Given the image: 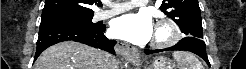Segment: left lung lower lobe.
I'll use <instances>...</instances> for the list:
<instances>
[{"label": "left lung lower lobe", "instance_id": "left-lung-lower-lobe-1", "mask_svg": "<svg viewBox=\"0 0 246 69\" xmlns=\"http://www.w3.org/2000/svg\"><path fill=\"white\" fill-rule=\"evenodd\" d=\"M205 47H206L205 42L202 39L188 36L180 40L176 45L172 47L160 49V50H145L144 52L145 54H153V53L169 51V50L190 51L200 56L210 66Z\"/></svg>", "mask_w": 246, "mask_h": 69}]
</instances>
